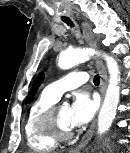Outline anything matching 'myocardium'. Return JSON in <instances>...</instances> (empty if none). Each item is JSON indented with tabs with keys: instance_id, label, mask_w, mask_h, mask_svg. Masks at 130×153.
Listing matches in <instances>:
<instances>
[{
	"instance_id": "obj_1",
	"label": "myocardium",
	"mask_w": 130,
	"mask_h": 153,
	"mask_svg": "<svg viewBox=\"0 0 130 153\" xmlns=\"http://www.w3.org/2000/svg\"><path fill=\"white\" fill-rule=\"evenodd\" d=\"M61 107L59 104H54L46 109L40 117V127L56 140H68L73 135V128L65 129L60 125L58 119V110Z\"/></svg>"
}]
</instances>
